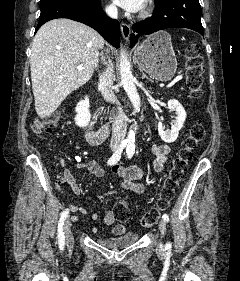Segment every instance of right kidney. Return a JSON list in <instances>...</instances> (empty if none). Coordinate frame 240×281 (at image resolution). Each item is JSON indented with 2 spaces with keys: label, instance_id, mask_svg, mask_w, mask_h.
<instances>
[{
  "label": "right kidney",
  "instance_id": "obj_1",
  "mask_svg": "<svg viewBox=\"0 0 240 281\" xmlns=\"http://www.w3.org/2000/svg\"><path fill=\"white\" fill-rule=\"evenodd\" d=\"M89 107L90 102L87 96L77 104L75 108L77 113L75 116V123L79 127H86L89 124L91 118Z\"/></svg>",
  "mask_w": 240,
  "mask_h": 281
}]
</instances>
